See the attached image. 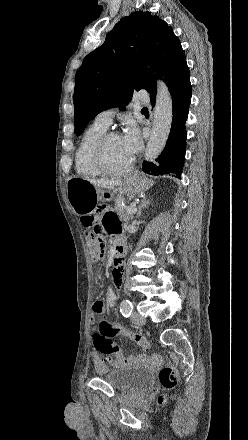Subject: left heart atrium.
Listing matches in <instances>:
<instances>
[{
    "label": "left heart atrium",
    "mask_w": 248,
    "mask_h": 440,
    "mask_svg": "<svg viewBox=\"0 0 248 440\" xmlns=\"http://www.w3.org/2000/svg\"><path fill=\"white\" fill-rule=\"evenodd\" d=\"M121 138L126 151L133 158L141 147V140L137 127L130 123Z\"/></svg>",
    "instance_id": "1"
}]
</instances>
